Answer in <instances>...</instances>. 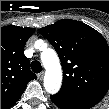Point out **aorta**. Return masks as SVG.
Wrapping results in <instances>:
<instances>
[{
	"label": "aorta",
	"mask_w": 109,
	"mask_h": 109,
	"mask_svg": "<svg viewBox=\"0 0 109 109\" xmlns=\"http://www.w3.org/2000/svg\"><path fill=\"white\" fill-rule=\"evenodd\" d=\"M41 61L46 69L44 76V88L50 94H56L62 84V68L55 50L45 49L41 53Z\"/></svg>",
	"instance_id": "obj_1"
}]
</instances>
